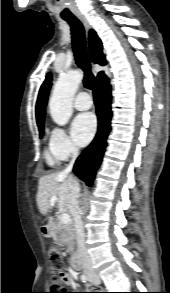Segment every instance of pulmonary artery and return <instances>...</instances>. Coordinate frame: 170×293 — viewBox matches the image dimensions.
Masks as SVG:
<instances>
[{"instance_id": "e3ab8cb5", "label": "pulmonary artery", "mask_w": 170, "mask_h": 293, "mask_svg": "<svg viewBox=\"0 0 170 293\" xmlns=\"http://www.w3.org/2000/svg\"><path fill=\"white\" fill-rule=\"evenodd\" d=\"M92 104V100L86 92H79L74 100V107L77 110H88Z\"/></svg>"}]
</instances>
